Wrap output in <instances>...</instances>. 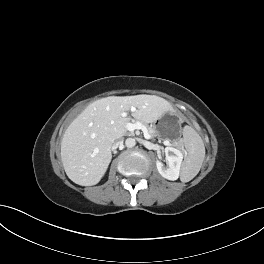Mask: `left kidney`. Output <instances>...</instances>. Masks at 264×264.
Masks as SVG:
<instances>
[{"label":"left kidney","mask_w":264,"mask_h":264,"mask_svg":"<svg viewBox=\"0 0 264 264\" xmlns=\"http://www.w3.org/2000/svg\"><path fill=\"white\" fill-rule=\"evenodd\" d=\"M165 155L167 161V167H164L160 161L156 162V166L160 175L168 180H177L180 175L181 164L183 160V154L180 150L174 147H166Z\"/></svg>","instance_id":"left-kidney-1"}]
</instances>
